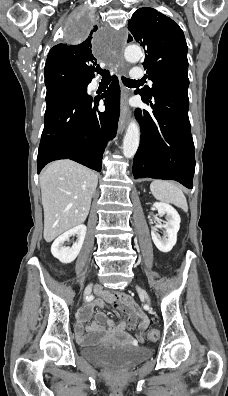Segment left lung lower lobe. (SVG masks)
<instances>
[{
    "label": "left lung lower lobe",
    "mask_w": 228,
    "mask_h": 396,
    "mask_svg": "<svg viewBox=\"0 0 228 396\" xmlns=\"http://www.w3.org/2000/svg\"><path fill=\"white\" fill-rule=\"evenodd\" d=\"M142 100L153 112L137 108L140 145L133 161L134 178L175 180L192 188L195 172L194 143L188 118V90L157 87Z\"/></svg>",
    "instance_id": "0a47b994"
}]
</instances>
